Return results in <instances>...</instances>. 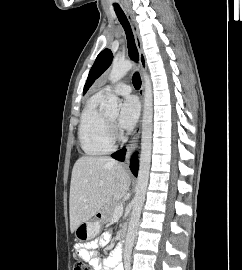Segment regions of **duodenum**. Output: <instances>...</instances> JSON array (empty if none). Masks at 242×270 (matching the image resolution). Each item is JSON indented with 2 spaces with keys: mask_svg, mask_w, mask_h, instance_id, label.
<instances>
[{
  "mask_svg": "<svg viewBox=\"0 0 242 270\" xmlns=\"http://www.w3.org/2000/svg\"><path fill=\"white\" fill-rule=\"evenodd\" d=\"M126 235H127V231L126 230H124L122 233H121V235H120V240H121V242H125V240H126Z\"/></svg>",
  "mask_w": 242,
  "mask_h": 270,
  "instance_id": "obj_1",
  "label": "duodenum"
}]
</instances>
